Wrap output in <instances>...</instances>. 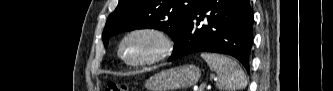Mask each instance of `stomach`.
Listing matches in <instances>:
<instances>
[{
  "instance_id": "0dacf381",
  "label": "stomach",
  "mask_w": 333,
  "mask_h": 91,
  "mask_svg": "<svg viewBox=\"0 0 333 91\" xmlns=\"http://www.w3.org/2000/svg\"><path fill=\"white\" fill-rule=\"evenodd\" d=\"M200 70L195 65L187 64L163 70L145 82L149 91H173L196 84L200 78Z\"/></svg>"
}]
</instances>
